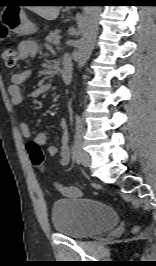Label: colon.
<instances>
[{
    "label": "colon",
    "mask_w": 156,
    "mask_h": 266,
    "mask_svg": "<svg viewBox=\"0 0 156 266\" xmlns=\"http://www.w3.org/2000/svg\"><path fill=\"white\" fill-rule=\"evenodd\" d=\"M2 57L7 67H14L18 60V52L12 47H7L4 49ZM26 147L32 164L38 170L43 171L45 167V158L40 146L35 142H29Z\"/></svg>",
    "instance_id": "obj_1"
}]
</instances>
